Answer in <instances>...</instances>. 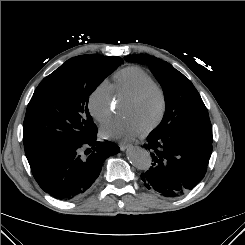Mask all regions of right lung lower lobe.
<instances>
[{
	"instance_id": "1",
	"label": "right lung lower lobe",
	"mask_w": 245,
	"mask_h": 245,
	"mask_svg": "<svg viewBox=\"0 0 245 245\" xmlns=\"http://www.w3.org/2000/svg\"><path fill=\"white\" fill-rule=\"evenodd\" d=\"M96 135L97 132L79 144L54 150L29 162L42 190L65 200L78 198L88 191L99 176L103 161L120 151L113 142H97Z\"/></svg>"
}]
</instances>
